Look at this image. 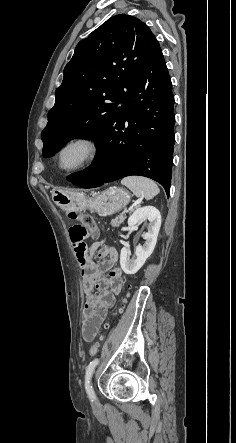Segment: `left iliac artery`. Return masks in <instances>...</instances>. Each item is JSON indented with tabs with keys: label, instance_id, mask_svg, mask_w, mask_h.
Wrapping results in <instances>:
<instances>
[{
	"label": "left iliac artery",
	"instance_id": "44dca946",
	"mask_svg": "<svg viewBox=\"0 0 236 443\" xmlns=\"http://www.w3.org/2000/svg\"><path fill=\"white\" fill-rule=\"evenodd\" d=\"M98 363L99 359H94L93 361L90 362V364L86 368L85 389L89 397L92 399V401L96 399V396L93 387L91 385V377Z\"/></svg>",
	"mask_w": 236,
	"mask_h": 443
}]
</instances>
